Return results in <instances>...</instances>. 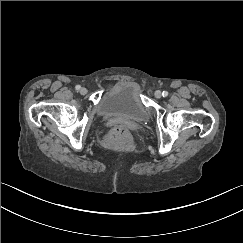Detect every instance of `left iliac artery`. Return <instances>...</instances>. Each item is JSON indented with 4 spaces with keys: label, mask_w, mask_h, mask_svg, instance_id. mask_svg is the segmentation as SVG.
Wrapping results in <instances>:
<instances>
[{
    "label": "left iliac artery",
    "mask_w": 243,
    "mask_h": 243,
    "mask_svg": "<svg viewBox=\"0 0 243 243\" xmlns=\"http://www.w3.org/2000/svg\"><path fill=\"white\" fill-rule=\"evenodd\" d=\"M162 95H163L164 97H166V96L168 95V92H167V91H163Z\"/></svg>",
    "instance_id": "left-iliac-artery-1"
}]
</instances>
